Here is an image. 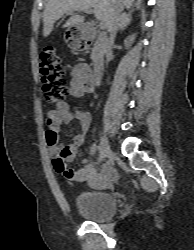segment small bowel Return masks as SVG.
Returning a JSON list of instances; mask_svg holds the SVG:
<instances>
[{
  "label": "small bowel",
  "instance_id": "1",
  "mask_svg": "<svg viewBox=\"0 0 194 250\" xmlns=\"http://www.w3.org/2000/svg\"><path fill=\"white\" fill-rule=\"evenodd\" d=\"M91 74L92 70L88 64H77L71 71V80L67 88L68 94L72 97H82L85 94L92 93L94 84L92 83ZM75 119L80 124V131L74 135L72 143L67 145L60 144L59 133L61 126L69 124ZM46 124V143L56 171L75 183H95L96 172L88 161H84V165L78 170L70 169L66 165L67 162L75 158L78 148L85 142L86 134L91 124L90 113L80 109L72 110L68 103L61 102L56 105L55 109L48 111ZM114 176L115 170L111 166H107L105 168V179L110 180Z\"/></svg>",
  "mask_w": 194,
  "mask_h": 250
}]
</instances>
